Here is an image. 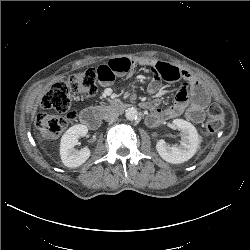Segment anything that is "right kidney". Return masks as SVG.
<instances>
[{"label": "right kidney", "instance_id": "1", "mask_svg": "<svg viewBox=\"0 0 250 250\" xmlns=\"http://www.w3.org/2000/svg\"><path fill=\"white\" fill-rule=\"evenodd\" d=\"M88 128L86 125L76 124L70 127L62 136L60 143V156L63 164L70 168L81 166L90 157V150L86 147L76 151L78 138L86 136Z\"/></svg>", "mask_w": 250, "mask_h": 250}]
</instances>
